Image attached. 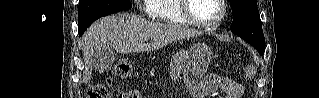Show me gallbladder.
Here are the masks:
<instances>
[{
  "label": "gallbladder",
  "instance_id": "gallbladder-1",
  "mask_svg": "<svg viewBox=\"0 0 319 98\" xmlns=\"http://www.w3.org/2000/svg\"><path fill=\"white\" fill-rule=\"evenodd\" d=\"M116 56L112 50H98L92 56V66L97 72H105L113 66Z\"/></svg>",
  "mask_w": 319,
  "mask_h": 98
}]
</instances>
